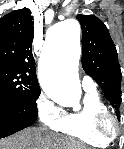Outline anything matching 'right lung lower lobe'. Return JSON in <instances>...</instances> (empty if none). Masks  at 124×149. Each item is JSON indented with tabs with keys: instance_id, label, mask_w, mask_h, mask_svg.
Returning <instances> with one entry per match:
<instances>
[{
	"instance_id": "obj_1",
	"label": "right lung lower lobe",
	"mask_w": 124,
	"mask_h": 149,
	"mask_svg": "<svg viewBox=\"0 0 124 149\" xmlns=\"http://www.w3.org/2000/svg\"><path fill=\"white\" fill-rule=\"evenodd\" d=\"M37 115V111L29 109L23 102L0 96V138L29 127Z\"/></svg>"
}]
</instances>
